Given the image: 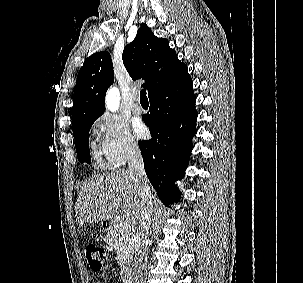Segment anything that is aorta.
Returning a JSON list of instances; mask_svg holds the SVG:
<instances>
[{"label": "aorta", "instance_id": "obj_1", "mask_svg": "<svg viewBox=\"0 0 303 283\" xmlns=\"http://www.w3.org/2000/svg\"><path fill=\"white\" fill-rule=\"evenodd\" d=\"M120 95L116 87L109 89L106 95V106L109 111L115 112L119 107Z\"/></svg>", "mask_w": 303, "mask_h": 283}]
</instances>
